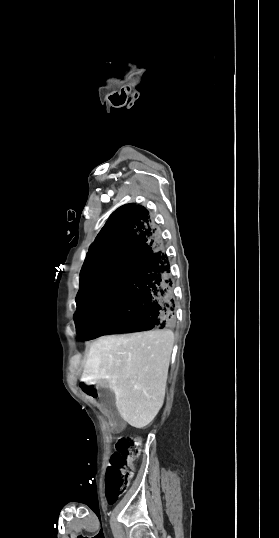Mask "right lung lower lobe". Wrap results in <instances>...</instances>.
<instances>
[{
	"instance_id": "obj_1",
	"label": "right lung lower lobe",
	"mask_w": 279,
	"mask_h": 538,
	"mask_svg": "<svg viewBox=\"0 0 279 538\" xmlns=\"http://www.w3.org/2000/svg\"><path fill=\"white\" fill-rule=\"evenodd\" d=\"M76 297L77 334L87 340L176 322L165 242L149 211L128 204L112 213L90 246Z\"/></svg>"
}]
</instances>
